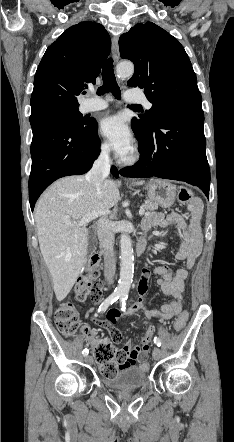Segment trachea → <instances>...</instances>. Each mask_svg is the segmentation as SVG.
I'll list each match as a JSON object with an SVG mask.
<instances>
[{"mask_svg": "<svg viewBox=\"0 0 234 442\" xmlns=\"http://www.w3.org/2000/svg\"><path fill=\"white\" fill-rule=\"evenodd\" d=\"M103 85L98 88L97 94L104 95L111 92L116 99L121 98V90L116 82V77L113 69L112 58L107 59L102 69ZM131 107H139V105H131Z\"/></svg>", "mask_w": 234, "mask_h": 442, "instance_id": "obj_1", "label": "trachea"}]
</instances>
